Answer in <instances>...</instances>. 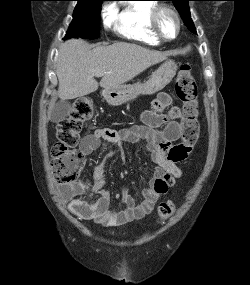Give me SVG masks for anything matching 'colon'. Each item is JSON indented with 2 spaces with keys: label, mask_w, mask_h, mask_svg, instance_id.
Segmentation results:
<instances>
[{
  "label": "colon",
  "mask_w": 250,
  "mask_h": 285,
  "mask_svg": "<svg viewBox=\"0 0 250 285\" xmlns=\"http://www.w3.org/2000/svg\"><path fill=\"white\" fill-rule=\"evenodd\" d=\"M175 92L182 103L178 111L180 117L181 136L184 147L192 146L200 131L198 122V91L191 68L188 64L181 66L175 85ZM94 106L90 99H78L68 117L57 125V141L51 149L52 166L57 180L69 184L75 182L83 166L84 156L76 149L80 140L83 123L94 115ZM175 212L172 201L161 202L158 206V216L161 221L169 219Z\"/></svg>",
  "instance_id": "colon-1"
}]
</instances>
